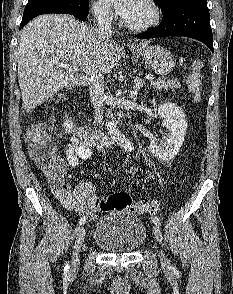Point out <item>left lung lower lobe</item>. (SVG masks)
<instances>
[{"instance_id":"0a47b994","label":"left lung lower lobe","mask_w":233,"mask_h":294,"mask_svg":"<svg viewBox=\"0 0 233 294\" xmlns=\"http://www.w3.org/2000/svg\"><path fill=\"white\" fill-rule=\"evenodd\" d=\"M163 19L155 28L137 35L139 39L186 36L206 44L213 52V35L207 2L181 0L162 12Z\"/></svg>"}]
</instances>
